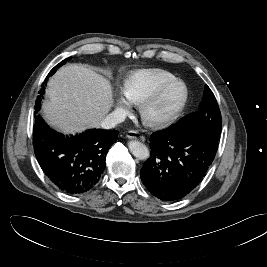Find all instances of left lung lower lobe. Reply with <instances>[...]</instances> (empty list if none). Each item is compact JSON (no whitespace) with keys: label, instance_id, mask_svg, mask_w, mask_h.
Listing matches in <instances>:
<instances>
[{"label":"left lung lower lobe","instance_id":"1","mask_svg":"<svg viewBox=\"0 0 267 267\" xmlns=\"http://www.w3.org/2000/svg\"><path fill=\"white\" fill-rule=\"evenodd\" d=\"M218 141L203 127L191 125H175L152 134L150 158L140 171L143 184L164 201L186 196L205 177Z\"/></svg>","mask_w":267,"mask_h":267}]
</instances>
